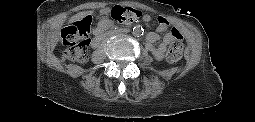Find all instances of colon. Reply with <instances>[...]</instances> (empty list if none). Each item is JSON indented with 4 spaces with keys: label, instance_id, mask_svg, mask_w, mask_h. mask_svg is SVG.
<instances>
[{
    "label": "colon",
    "instance_id": "5ec220e1",
    "mask_svg": "<svg viewBox=\"0 0 255 122\" xmlns=\"http://www.w3.org/2000/svg\"><path fill=\"white\" fill-rule=\"evenodd\" d=\"M110 16L121 24H130L141 18V12L131 8L116 7L110 11ZM94 17H96L95 14L87 15L65 30L64 41L68 46L67 53L71 59L76 61H84L86 59V40ZM172 32L176 40L171 43L166 57L170 62H177L183 55L182 36L176 29H172Z\"/></svg>",
    "mask_w": 255,
    "mask_h": 122
}]
</instances>
